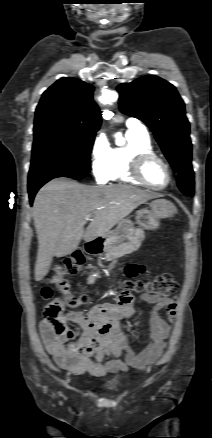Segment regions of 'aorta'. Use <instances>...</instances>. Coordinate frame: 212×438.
Returning <instances> with one entry per match:
<instances>
[{"label": "aorta", "instance_id": "obj_1", "mask_svg": "<svg viewBox=\"0 0 212 438\" xmlns=\"http://www.w3.org/2000/svg\"><path fill=\"white\" fill-rule=\"evenodd\" d=\"M118 98V94L113 91V90H104L101 100L103 103L107 104V103H113L117 100ZM116 138V143L118 145H121L124 143V139L122 138L121 134H116L115 135Z\"/></svg>", "mask_w": 212, "mask_h": 438}]
</instances>
